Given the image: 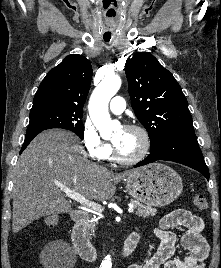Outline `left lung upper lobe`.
I'll return each instance as SVG.
<instances>
[{
	"instance_id": "obj_1",
	"label": "left lung upper lobe",
	"mask_w": 221,
	"mask_h": 268,
	"mask_svg": "<svg viewBox=\"0 0 221 268\" xmlns=\"http://www.w3.org/2000/svg\"><path fill=\"white\" fill-rule=\"evenodd\" d=\"M125 73L131 106L148 132L151 148L173 134L194 132L180 85L151 53L135 54L126 63Z\"/></svg>"
}]
</instances>
